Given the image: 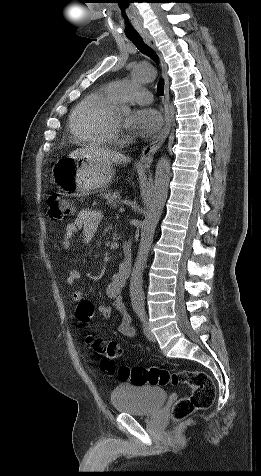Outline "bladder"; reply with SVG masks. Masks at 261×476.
Masks as SVG:
<instances>
[{"label":"bladder","mask_w":261,"mask_h":476,"mask_svg":"<svg viewBox=\"0 0 261 476\" xmlns=\"http://www.w3.org/2000/svg\"><path fill=\"white\" fill-rule=\"evenodd\" d=\"M167 398L159 386L123 384L111 393L113 407L132 416H149L159 410Z\"/></svg>","instance_id":"1"}]
</instances>
